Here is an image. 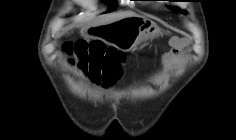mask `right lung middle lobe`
Segmentation results:
<instances>
[{
    "label": "right lung middle lobe",
    "instance_id": "obj_1",
    "mask_svg": "<svg viewBox=\"0 0 236 140\" xmlns=\"http://www.w3.org/2000/svg\"><path fill=\"white\" fill-rule=\"evenodd\" d=\"M115 8H116V4H112L107 12H111V11L115 10Z\"/></svg>",
    "mask_w": 236,
    "mask_h": 140
}]
</instances>
